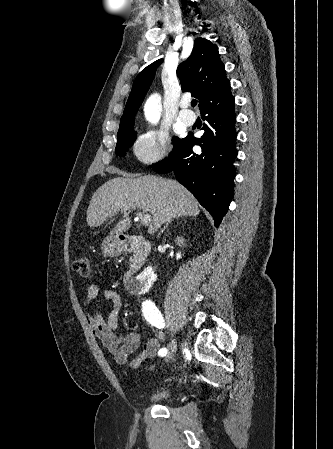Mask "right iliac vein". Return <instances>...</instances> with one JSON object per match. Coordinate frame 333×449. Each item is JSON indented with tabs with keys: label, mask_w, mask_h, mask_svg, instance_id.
Here are the masks:
<instances>
[{
	"label": "right iliac vein",
	"mask_w": 333,
	"mask_h": 449,
	"mask_svg": "<svg viewBox=\"0 0 333 449\" xmlns=\"http://www.w3.org/2000/svg\"><path fill=\"white\" fill-rule=\"evenodd\" d=\"M176 351H177V344H176V340L173 338L168 345V352L166 355V360L167 361L171 360L175 356Z\"/></svg>",
	"instance_id": "63e3f726"
}]
</instances>
